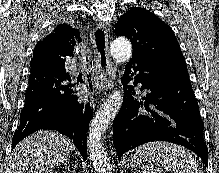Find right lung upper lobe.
Wrapping results in <instances>:
<instances>
[{
    "mask_svg": "<svg viewBox=\"0 0 219 173\" xmlns=\"http://www.w3.org/2000/svg\"><path fill=\"white\" fill-rule=\"evenodd\" d=\"M79 35V30L67 24H60L54 29V33L40 40L35 46L31 69L41 64L64 65L65 58L73 54V46L76 43L74 37L78 38Z\"/></svg>",
    "mask_w": 219,
    "mask_h": 173,
    "instance_id": "right-lung-upper-lobe-1",
    "label": "right lung upper lobe"
}]
</instances>
